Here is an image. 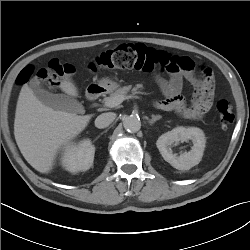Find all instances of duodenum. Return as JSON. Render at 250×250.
Here are the masks:
<instances>
[{
  "label": "duodenum",
  "instance_id": "duodenum-1",
  "mask_svg": "<svg viewBox=\"0 0 250 250\" xmlns=\"http://www.w3.org/2000/svg\"><path fill=\"white\" fill-rule=\"evenodd\" d=\"M103 91H104V89L99 85H91V86H89V88L87 89V92H86L87 101L88 102L96 101L101 96Z\"/></svg>",
  "mask_w": 250,
  "mask_h": 250
}]
</instances>
